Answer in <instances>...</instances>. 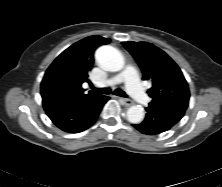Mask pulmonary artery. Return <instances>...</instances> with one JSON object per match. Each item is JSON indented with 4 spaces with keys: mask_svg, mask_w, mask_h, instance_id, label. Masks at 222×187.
<instances>
[{
    "mask_svg": "<svg viewBox=\"0 0 222 187\" xmlns=\"http://www.w3.org/2000/svg\"><path fill=\"white\" fill-rule=\"evenodd\" d=\"M124 82L129 94L140 104H147L149 102L148 95L143 91L138 74L136 70L127 66L124 71L114 75L112 78L97 82V86H107Z\"/></svg>",
    "mask_w": 222,
    "mask_h": 187,
    "instance_id": "pulmonary-artery-1",
    "label": "pulmonary artery"
}]
</instances>
